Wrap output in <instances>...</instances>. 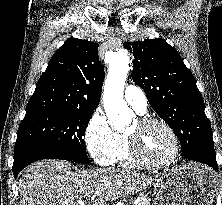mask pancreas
Masks as SVG:
<instances>
[{
	"instance_id": "1",
	"label": "pancreas",
	"mask_w": 222,
	"mask_h": 205,
	"mask_svg": "<svg viewBox=\"0 0 222 205\" xmlns=\"http://www.w3.org/2000/svg\"><path fill=\"white\" fill-rule=\"evenodd\" d=\"M136 205H150V199L147 196H141Z\"/></svg>"
}]
</instances>
